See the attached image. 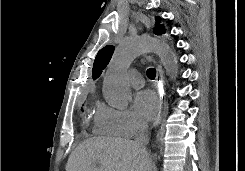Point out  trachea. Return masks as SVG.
I'll return each instance as SVG.
<instances>
[{
  "mask_svg": "<svg viewBox=\"0 0 245 171\" xmlns=\"http://www.w3.org/2000/svg\"><path fill=\"white\" fill-rule=\"evenodd\" d=\"M147 74V77L150 78V79H154L155 76H156V69L154 68H149L146 72Z\"/></svg>",
  "mask_w": 245,
  "mask_h": 171,
  "instance_id": "1",
  "label": "trachea"
}]
</instances>
